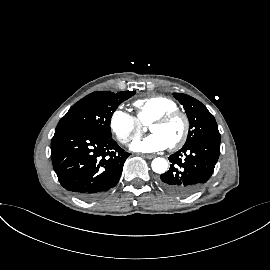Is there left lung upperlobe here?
I'll return each instance as SVG.
<instances>
[{
	"label": "left lung upper lobe",
	"mask_w": 270,
	"mask_h": 270,
	"mask_svg": "<svg viewBox=\"0 0 270 270\" xmlns=\"http://www.w3.org/2000/svg\"><path fill=\"white\" fill-rule=\"evenodd\" d=\"M173 95L184 107L190 123L185 145L201 140L221 141L214 116L200 101L182 93H174Z\"/></svg>",
	"instance_id": "left-lung-upper-lobe-1"
}]
</instances>
